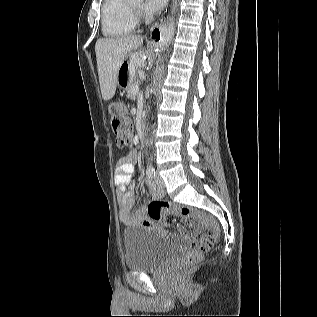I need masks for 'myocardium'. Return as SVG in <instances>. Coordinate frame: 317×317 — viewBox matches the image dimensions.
<instances>
[{"mask_svg":"<svg viewBox=\"0 0 317 317\" xmlns=\"http://www.w3.org/2000/svg\"><path fill=\"white\" fill-rule=\"evenodd\" d=\"M132 10L135 13L136 17H140L142 16V9L141 7H136L134 5L131 4Z\"/></svg>","mask_w":317,"mask_h":317,"instance_id":"myocardium-1","label":"myocardium"}]
</instances>
